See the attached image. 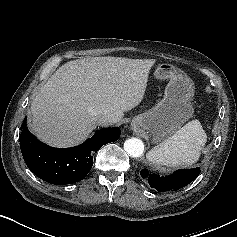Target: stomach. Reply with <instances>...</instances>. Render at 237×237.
Instances as JSON below:
<instances>
[{
	"label": "stomach",
	"instance_id": "0dacf381",
	"mask_svg": "<svg viewBox=\"0 0 237 237\" xmlns=\"http://www.w3.org/2000/svg\"><path fill=\"white\" fill-rule=\"evenodd\" d=\"M154 77L169 80L164 98L150 111L137 115L132 124L159 143L174 134L194 113L191 100L194 83L186 73L169 63L157 66Z\"/></svg>",
	"mask_w": 237,
	"mask_h": 237
}]
</instances>
